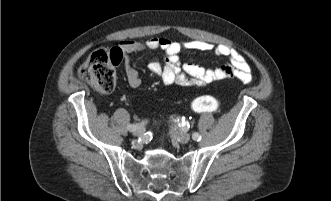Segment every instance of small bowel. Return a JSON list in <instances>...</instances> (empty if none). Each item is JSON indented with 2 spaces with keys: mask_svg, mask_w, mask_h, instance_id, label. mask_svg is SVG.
Listing matches in <instances>:
<instances>
[{
  "mask_svg": "<svg viewBox=\"0 0 331 201\" xmlns=\"http://www.w3.org/2000/svg\"><path fill=\"white\" fill-rule=\"evenodd\" d=\"M144 50L163 51V62L154 59L148 67L151 73L159 77L165 85L202 87L227 78H236L245 84L252 81L251 68L248 62L242 54L231 46L214 45L202 40L182 42L163 37H152L140 41L125 40L119 45V51L123 56L126 79L131 88H138L141 85V79L138 71L131 66L128 55ZM184 50L213 52L217 56L229 58L230 63L214 69H206L189 62L183 63L180 54Z\"/></svg>",
  "mask_w": 331,
  "mask_h": 201,
  "instance_id": "small-bowel-1",
  "label": "small bowel"
}]
</instances>
